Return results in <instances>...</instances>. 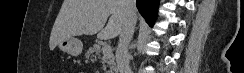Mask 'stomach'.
Instances as JSON below:
<instances>
[{"label":"stomach","instance_id":"0dacf381","mask_svg":"<svg viewBox=\"0 0 244 73\" xmlns=\"http://www.w3.org/2000/svg\"><path fill=\"white\" fill-rule=\"evenodd\" d=\"M58 48L61 51H64L70 55L78 56L82 52L83 44L79 39L70 37L68 39L61 41L58 44Z\"/></svg>","mask_w":244,"mask_h":73}]
</instances>
